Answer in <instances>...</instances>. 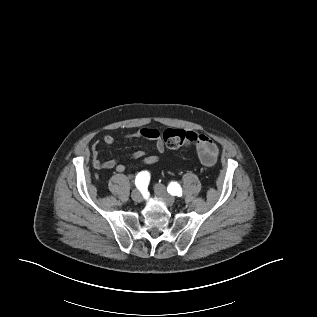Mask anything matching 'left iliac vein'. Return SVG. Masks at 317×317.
Instances as JSON below:
<instances>
[{
    "label": "left iliac vein",
    "mask_w": 317,
    "mask_h": 317,
    "mask_svg": "<svg viewBox=\"0 0 317 317\" xmlns=\"http://www.w3.org/2000/svg\"><path fill=\"white\" fill-rule=\"evenodd\" d=\"M154 191L158 197L163 199L166 205L172 206L174 204L175 198L167 192L166 187L164 185L156 184L154 186Z\"/></svg>",
    "instance_id": "4c4485c4"
}]
</instances>
